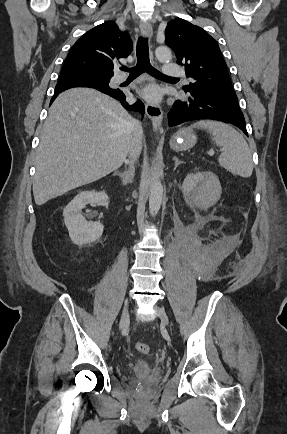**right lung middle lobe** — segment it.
I'll list each match as a JSON object with an SVG mask.
<instances>
[{
    "label": "right lung middle lobe",
    "instance_id": "obj_1",
    "mask_svg": "<svg viewBox=\"0 0 287 434\" xmlns=\"http://www.w3.org/2000/svg\"><path fill=\"white\" fill-rule=\"evenodd\" d=\"M112 76L93 74L90 72L72 71L61 72L58 81H81L93 86L110 88L109 82Z\"/></svg>",
    "mask_w": 287,
    "mask_h": 434
}]
</instances>
